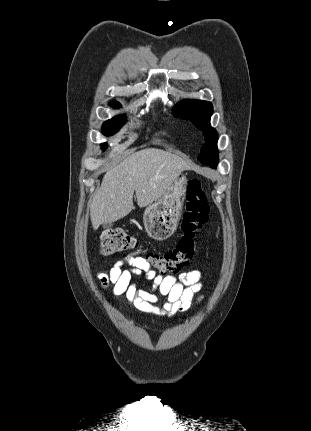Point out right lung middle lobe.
<instances>
[{
  "instance_id": "1",
  "label": "right lung middle lobe",
  "mask_w": 311,
  "mask_h": 431,
  "mask_svg": "<svg viewBox=\"0 0 311 431\" xmlns=\"http://www.w3.org/2000/svg\"><path fill=\"white\" fill-rule=\"evenodd\" d=\"M110 105L115 108H119L120 104L116 101L110 102ZM126 117L125 116H117L114 117L108 121H106L102 126V133L106 136L113 135L116 133L125 123ZM102 148H106V144L102 145Z\"/></svg>"
}]
</instances>
